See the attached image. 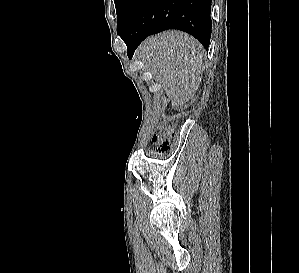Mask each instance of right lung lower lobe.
Masks as SVG:
<instances>
[{"mask_svg": "<svg viewBox=\"0 0 299 273\" xmlns=\"http://www.w3.org/2000/svg\"><path fill=\"white\" fill-rule=\"evenodd\" d=\"M212 0H134L119 36L132 58L135 49L149 35L178 29L197 38L207 48L211 38Z\"/></svg>", "mask_w": 299, "mask_h": 273, "instance_id": "98d812e1", "label": "right lung lower lobe"}]
</instances>
